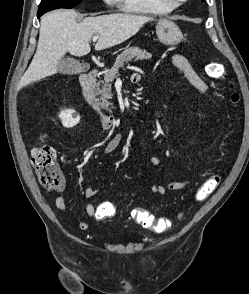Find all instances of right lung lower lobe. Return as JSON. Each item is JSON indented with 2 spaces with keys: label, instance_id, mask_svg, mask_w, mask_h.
I'll return each instance as SVG.
<instances>
[{
  "label": "right lung lower lobe",
  "instance_id": "98d812e1",
  "mask_svg": "<svg viewBox=\"0 0 249 294\" xmlns=\"http://www.w3.org/2000/svg\"><path fill=\"white\" fill-rule=\"evenodd\" d=\"M43 14L42 13H38L37 14V17L39 18L40 16H42Z\"/></svg>",
  "mask_w": 249,
  "mask_h": 294
}]
</instances>
